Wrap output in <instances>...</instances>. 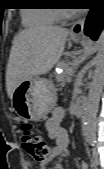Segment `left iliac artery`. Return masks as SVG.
I'll list each match as a JSON object with an SVG mask.
<instances>
[{"instance_id": "left-iliac-artery-1", "label": "left iliac artery", "mask_w": 104, "mask_h": 169, "mask_svg": "<svg viewBox=\"0 0 104 169\" xmlns=\"http://www.w3.org/2000/svg\"><path fill=\"white\" fill-rule=\"evenodd\" d=\"M89 143H90L91 145H94V143H95V140H93V139H90V140H89Z\"/></svg>"}]
</instances>
